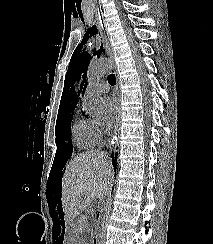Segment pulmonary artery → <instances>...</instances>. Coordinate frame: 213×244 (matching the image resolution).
<instances>
[{
	"instance_id": "e3ab8cb5",
	"label": "pulmonary artery",
	"mask_w": 213,
	"mask_h": 244,
	"mask_svg": "<svg viewBox=\"0 0 213 244\" xmlns=\"http://www.w3.org/2000/svg\"><path fill=\"white\" fill-rule=\"evenodd\" d=\"M98 89L100 90V92L106 93L109 90V84L102 81L98 83Z\"/></svg>"
}]
</instances>
